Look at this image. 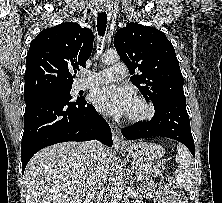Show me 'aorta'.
<instances>
[{
	"label": "aorta",
	"mask_w": 222,
	"mask_h": 203,
	"mask_svg": "<svg viewBox=\"0 0 222 203\" xmlns=\"http://www.w3.org/2000/svg\"><path fill=\"white\" fill-rule=\"evenodd\" d=\"M102 62L105 64H113L118 61L119 56L116 51H107L101 56ZM124 180L121 175L115 173L114 177L112 178V190L113 195L116 200H119L122 197L123 190H124Z\"/></svg>",
	"instance_id": "1"
}]
</instances>
